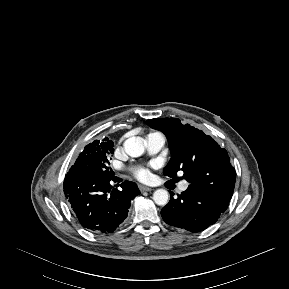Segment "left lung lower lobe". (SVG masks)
<instances>
[{
  "label": "left lung lower lobe",
  "mask_w": 289,
  "mask_h": 289,
  "mask_svg": "<svg viewBox=\"0 0 289 289\" xmlns=\"http://www.w3.org/2000/svg\"><path fill=\"white\" fill-rule=\"evenodd\" d=\"M171 198L161 210L163 220L170 226L200 232L214 224L225 212L229 201L215 195L188 188L176 199Z\"/></svg>",
  "instance_id": "obj_1"
}]
</instances>
